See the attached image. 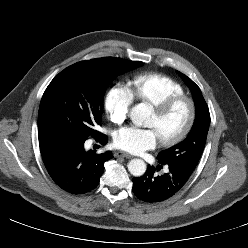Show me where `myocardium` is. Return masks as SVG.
I'll return each instance as SVG.
<instances>
[{
	"label": "myocardium",
	"instance_id": "myocardium-1",
	"mask_svg": "<svg viewBox=\"0 0 248 248\" xmlns=\"http://www.w3.org/2000/svg\"><path fill=\"white\" fill-rule=\"evenodd\" d=\"M185 102L189 108V116L186 125L184 128L174 137L169 139L160 140V144L165 147L174 146L181 141H183L191 132L196 116H197V107L195 101L186 95H174L162 100L160 103L153 105V112L156 114L157 117L165 116L174 106L178 103Z\"/></svg>",
	"mask_w": 248,
	"mask_h": 248
}]
</instances>
